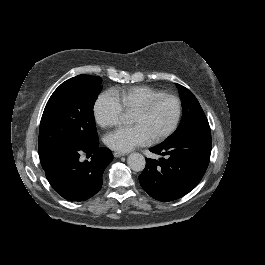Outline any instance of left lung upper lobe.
Segmentation results:
<instances>
[{"label": "left lung upper lobe", "mask_w": 265, "mask_h": 265, "mask_svg": "<svg viewBox=\"0 0 265 265\" xmlns=\"http://www.w3.org/2000/svg\"><path fill=\"white\" fill-rule=\"evenodd\" d=\"M177 87L182 101L183 116L177 130L164 142L178 140L198 132H210L208 120L196 97L184 86L177 84Z\"/></svg>", "instance_id": "5c2ea615"}]
</instances>
